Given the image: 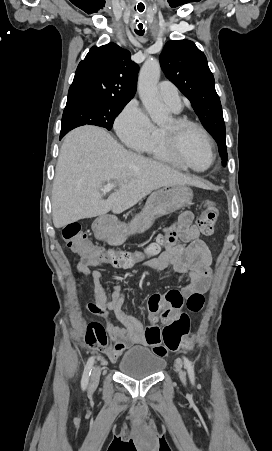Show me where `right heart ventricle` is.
I'll return each instance as SVG.
<instances>
[{"mask_svg": "<svg viewBox=\"0 0 272 451\" xmlns=\"http://www.w3.org/2000/svg\"><path fill=\"white\" fill-rule=\"evenodd\" d=\"M165 103L169 105L167 102ZM135 147L138 150L143 151L159 159H169L171 156V143L170 142H167L166 144L163 143L162 128L155 127L150 139L146 143Z\"/></svg>", "mask_w": 272, "mask_h": 451, "instance_id": "1", "label": "right heart ventricle"}]
</instances>
